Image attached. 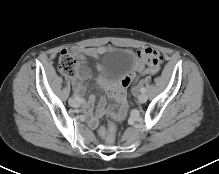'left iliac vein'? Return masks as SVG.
Wrapping results in <instances>:
<instances>
[{
  "label": "left iliac vein",
  "instance_id": "1",
  "mask_svg": "<svg viewBox=\"0 0 219 174\" xmlns=\"http://www.w3.org/2000/svg\"><path fill=\"white\" fill-rule=\"evenodd\" d=\"M137 100L140 103H145L147 101V95L144 93H141L137 96Z\"/></svg>",
  "mask_w": 219,
  "mask_h": 174
}]
</instances>
